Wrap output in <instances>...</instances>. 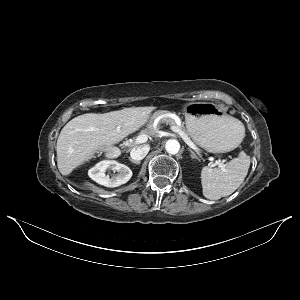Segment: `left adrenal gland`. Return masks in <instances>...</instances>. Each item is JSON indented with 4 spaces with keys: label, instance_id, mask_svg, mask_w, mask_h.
<instances>
[{
    "label": "left adrenal gland",
    "instance_id": "left-adrenal-gland-1",
    "mask_svg": "<svg viewBox=\"0 0 300 300\" xmlns=\"http://www.w3.org/2000/svg\"><path fill=\"white\" fill-rule=\"evenodd\" d=\"M189 151L191 152V158L192 159H197L198 161H200V159L196 156L194 151H192L191 149H189Z\"/></svg>",
    "mask_w": 300,
    "mask_h": 300
}]
</instances>
